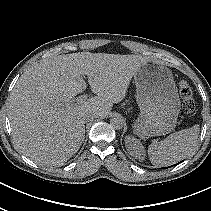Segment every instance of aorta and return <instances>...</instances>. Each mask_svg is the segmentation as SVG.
I'll return each mask as SVG.
<instances>
[{
	"label": "aorta",
	"mask_w": 211,
	"mask_h": 211,
	"mask_svg": "<svg viewBox=\"0 0 211 211\" xmlns=\"http://www.w3.org/2000/svg\"><path fill=\"white\" fill-rule=\"evenodd\" d=\"M110 124L115 129H121L124 126V120L120 115H115L110 119Z\"/></svg>",
	"instance_id": "aorta-1"
}]
</instances>
